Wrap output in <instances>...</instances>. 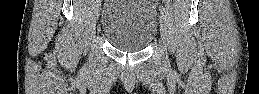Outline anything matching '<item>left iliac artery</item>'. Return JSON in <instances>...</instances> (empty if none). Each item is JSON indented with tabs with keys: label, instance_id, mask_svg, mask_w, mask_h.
<instances>
[{
	"label": "left iliac artery",
	"instance_id": "1",
	"mask_svg": "<svg viewBox=\"0 0 259 94\" xmlns=\"http://www.w3.org/2000/svg\"><path fill=\"white\" fill-rule=\"evenodd\" d=\"M159 10H160L161 14H164V15L168 14V11L166 10V8L164 6H160Z\"/></svg>",
	"mask_w": 259,
	"mask_h": 94
}]
</instances>
